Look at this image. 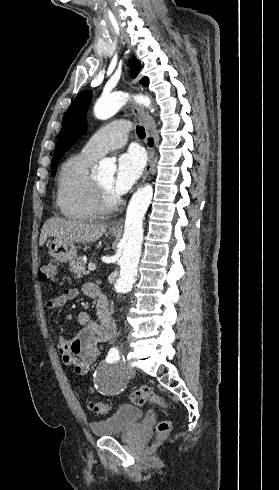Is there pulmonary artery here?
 <instances>
[{
    "mask_svg": "<svg viewBox=\"0 0 279 490\" xmlns=\"http://www.w3.org/2000/svg\"><path fill=\"white\" fill-rule=\"evenodd\" d=\"M127 123L128 120L125 117H115L112 123L101 127L91 135L81 153L96 160L110 150L124 146L127 142V130L125 129Z\"/></svg>",
    "mask_w": 279,
    "mask_h": 490,
    "instance_id": "obj_1",
    "label": "pulmonary artery"
}]
</instances>
